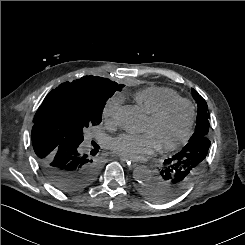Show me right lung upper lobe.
I'll return each instance as SVG.
<instances>
[{
	"instance_id": "obj_1",
	"label": "right lung upper lobe",
	"mask_w": 245,
	"mask_h": 245,
	"mask_svg": "<svg viewBox=\"0 0 245 245\" xmlns=\"http://www.w3.org/2000/svg\"><path fill=\"white\" fill-rule=\"evenodd\" d=\"M106 78L98 76H85L79 79L76 82L69 83L65 82L59 85L56 89L52 90L44 99L41 106L38 108L33 122L34 126L32 131L39 129L47 128L46 123L44 122V112L46 108L56 103L57 101L63 98H78V97H88L90 96L92 90L104 84Z\"/></svg>"
}]
</instances>
